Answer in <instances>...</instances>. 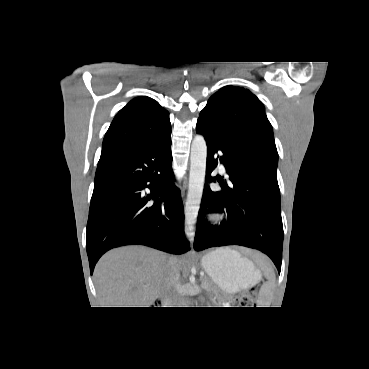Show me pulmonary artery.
Instances as JSON below:
<instances>
[{"label":"pulmonary artery","instance_id":"pulmonary-artery-1","mask_svg":"<svg viewBox=\"0 0 369 369\" xmlns=\"http://www.w3.org/2000/svg\"><path fill=\"white\" fill-rule=\"evenodd\" d=\"M220 169L223 173H226V169L223 164H220Z\"/></svg>","mask_w":369,"mask_h":369}]
</instances>
